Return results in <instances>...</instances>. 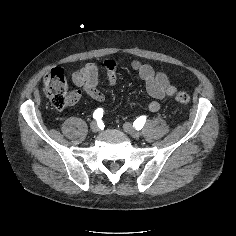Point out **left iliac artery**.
I'll return each instance as SVG.
<instances>
[{
    "label": "left iliac artery",
    "mask_w": 236,
    "mask_h": 236,
    "mask_svg": "<svg viewBox=\"0 0 236 236\" xmlns=\"http://www.w3.org/2000/svg\"><path fill=\"white\" fill-rule=\"evenodd\" d=\"M145 122H146V116H141L138 119H136L133 124L137 130H140L144 126Z\"/></svg>",
    "instance_id": "left-iliac-artery-1"
}]
</instances>
